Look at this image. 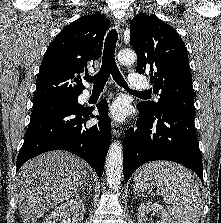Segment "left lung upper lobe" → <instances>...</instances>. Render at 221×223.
Returning <instances> with one entry per match:
<instances>
[{
    "label": "left lung upper lobe",
    "mask_w": 221,
    "mask_h": 223,
    "mask_svg": "<svg viewBox=\"0 0 221 223\" xmlns=\"http://www.w3.org/2000/svg\"><path fill=\"white\" fill-rule=\"evenodd\" d=\"M130 44L137 54L136 71L149 73L157 102L138 106L151 115L169 110L196 114L192 75L179 34L155 15L140 14L130 23Z\"/></svg>",
    "instance_id": "obj_1"
}]
</instances>
